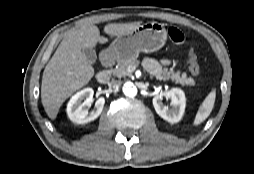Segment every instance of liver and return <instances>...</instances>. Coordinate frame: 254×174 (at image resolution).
<instances>
[{"label": "liver", "mask_w": 254, "mask_h": 174, "mask_svg": "<svg viewBox=\"0 0 254 174\" xmlns=\"http://www.w3.org/2000/svg\"><path fill=\"white\" fill-rule=\"evenodd\" d=\"M140 25L141 22L109 23L104 32L110 36H121ZM106 42L107 39L100 36L98 27L93 24L70 32L62 40L42 76L41 100L50 119H56L63 102L94 76V68L82 50Z\"/></svg>", "instance_id": "liver-1"}]
</instances>
